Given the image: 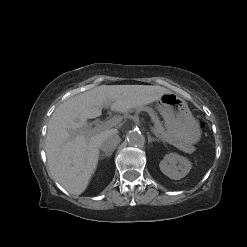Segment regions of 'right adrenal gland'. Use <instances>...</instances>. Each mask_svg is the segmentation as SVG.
<instances>
[{
	"label": "right adrenal gland",
	"instance_id": "2a0ac1e0",
	"mask_svg": "<svg viewBox=\"0 0 247 247\" xmlns=\"http://www.w3.org/2000/svg\"><path fill=\"white\" fill-rule=\"evenodd\" d=\"M112 154L111 153H105V154H102L101 156V159L105 158V157H110Z\"/></svg>",
	"mask_w": 247,
	"mask_h": 247
}]
</instances>
